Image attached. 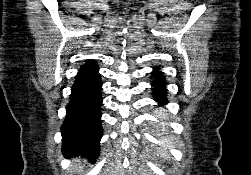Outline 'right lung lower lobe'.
I'll use <instances>...</instances> for the list:
<instances>
[{
  "label": "right lung lower lobe",
  "mask_w": 251,
  "mask_h": 175,
  "mask_svg": "<svg viewBox=\"0 0 251 175\" xmlns=\"http://www.w3.org/2000/svg\"><path fill=\"white\" fill-rule=\"evenodd\" d=\"M96 61L81 66L66 106V119L61 127L62 150L66 157L85 156L89 161L99 156L101 126L102 81Z\"/></svg>",
  "instance_id": "obj_1"
}]
</instances>
